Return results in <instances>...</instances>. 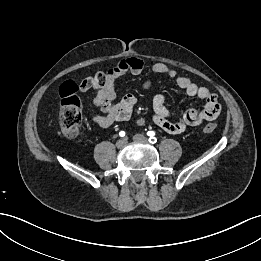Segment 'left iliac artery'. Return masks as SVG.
<instances>
[{
	"label": "left iliac artery",
	"mask_w": 261,
	"mask_h": 261,
	"mask_svg": "<svg viewBox=\"0 0 261 261\" xmlns=\"http://www.w3.org/2000/svg\"><path fill=\"white\" fill-rule=\"evenodd\" d=\"M147 135L149 136V142L154 144L157 142V139L155 137V133L153 131H148Z\"/></svg>",
	"instance_id": "left-iliac-artery-1"
}]
</instances>
